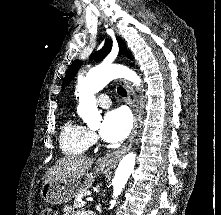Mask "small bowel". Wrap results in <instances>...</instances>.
Here are the masks:
<instances>
[{"label": "small bowel", "mask_w": 221, "mask_h": 215, "mask_svg": "<svg viewBox=\"0 0 221 215\" xmlns=\"http://www.w3.org/2000/svg\"><path fill=\"white\" fill-rule=\"evenodd\" d=\"M63 215H86V213L80 211L74 212L71 206L65 205L63 207Z\"/></svg>", "instance_id": "small-bowel-1"}]
</instances>
